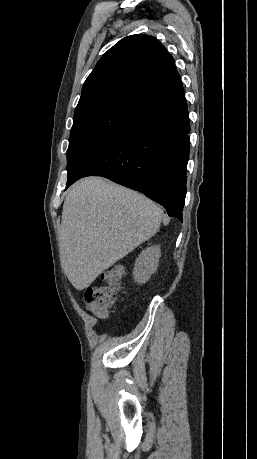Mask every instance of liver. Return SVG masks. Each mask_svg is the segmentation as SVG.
Segmentation results:
<instances>
[{"label": "liver", "instance_id": "liver-1", "mask_svg": "<svg viewBox=\"0 0 257 459\" xmlns=\"http://www.w3.org/2000/svg\"><path fill=\"white\" fill-rule=\"evenodd\" d=\"M163 211L150 199L99 177L67 193L59 235L61 265L77 290L155 235Z\"/></svg>", "mask_w": 257, "mask_h": 459}]
</instances>
